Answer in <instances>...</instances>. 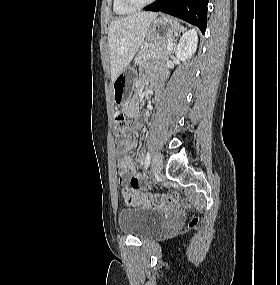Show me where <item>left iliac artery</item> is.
<instances>
[{
  "instance_id": "obj_1",
  "label": "left iliac artery",
  "mask_w": 280,
  "mask_h": 285,
  "mask_svg": "<svg viewBox=\"0 0 280 285\" xmlns=\"http://www.w3.org/2000/svg\"><path fill=\"white\" fill-rule=\"evenodd\" d=\"M151 161V155L149 152L146 154L145 162H144V168L147 169L149 167Z\"/></svg>"
}]
</instances>
